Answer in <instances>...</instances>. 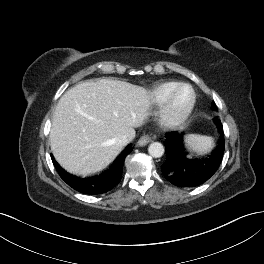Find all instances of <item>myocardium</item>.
<instances>
[{"instance_id": "f54148a6", "label": "myocardium", "mask_w": 264, "mask_h": 264, "mask_svg": "<svg viewBox=\"0 0 264 264\" xmlns=\"http://www.w3.org/2000/svg\"><path fill=\"white\" fill-rule=\"evenodd\" d=\"M183 89H188L190 91V99L184 106L178 107L176 99ZM196 102L197 94L194 88L187 83L178 84L171 90L162 104L159 113L160 125L166 129H177L182 127L192 115Z\"/></svg>"}]
</instances>
